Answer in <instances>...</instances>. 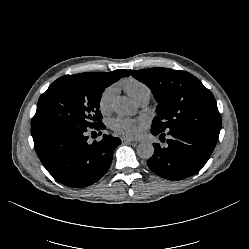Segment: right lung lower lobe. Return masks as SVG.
I'll use <instances>...</instances> for the list:
<instances>
[{
  "label": "right lung lower lobe",
  "instance_id": "1",
  "mask_svg": "<svg viewBox=\"0 0 249 249\" xmlns=\"http://www.w3.org/2000/svg\"><path fill=\"white\" fill-rule=\"evenodd\" d=\"M105 125L93 128L68 124L31 125L38 157L47 171L60 183L75 188L98 181L109 169L119 138L103 135L101 141H88L87 132L102 134Z\"/></svg>",
  "mask_w": 249,
  "mask_h": 249
}]
</instances>
